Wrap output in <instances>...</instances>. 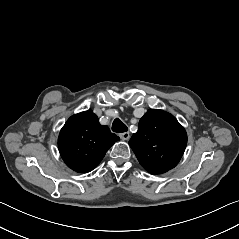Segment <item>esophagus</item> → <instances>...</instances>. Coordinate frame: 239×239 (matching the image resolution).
<instances>
[{"instance_id": "esophagus-1", "label": "esophagus", "mask_w": 239, "mask_h": 239, "mask_svg": "<svg viewBox=\"0 0 239 239\" xmlns=\"http://www.w3.org/2000/svg\"><path fill=\"white\" fill-rule=\"evenodd\" d=\"M119 137H120L122 140H128L129 137H130V133H129V132L120 133V134H119Z\"/></svg>"}]
</instances>
